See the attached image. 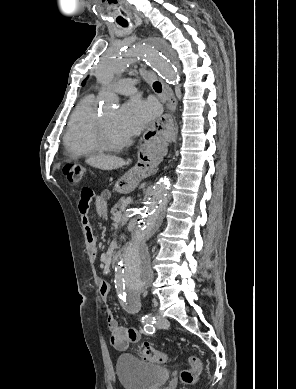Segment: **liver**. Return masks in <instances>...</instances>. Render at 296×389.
<instances>
[{
	"label": "liver",
	"mask_w": 296,
	"mask_h": 389,
	"mask_svg": "<svg viewBox=\"0 0 296 389\" xmlns=\"http://www.w3.org/2000/svg\"><path fill=\"white\" fill-rule=\"evenodd\" d=\"M85 162L92 167L108 171L126 165V162L123 159L108 155H93L88 157Z\"/></svg>",
	"instance_id": "6515ba94"
}]
</instances>
